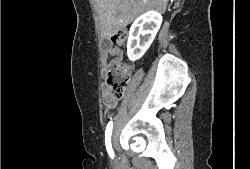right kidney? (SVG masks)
<instances>
[{"label": "right kidney", "instance_id": "1", "mask_svg": "<svg viewBox=\"0 0 250 169\" xmlns=\"http://www.w3.org/2000/svg\"><path fill=\"white\" fill-rule=\"evenodd\" d=\"M163 20L161 12L148 10L140 14L129 30L127 54L129 60H138L153 42Z\"/></svg>", "mask_w": 250, "mask_h": 169}]
</instances>
